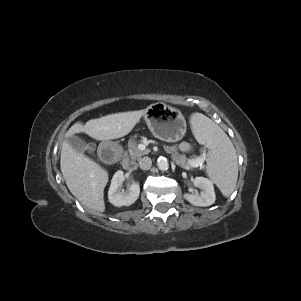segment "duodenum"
Wrapping results in <instances>:
<instances>
[{"mask_svg": "<svg viewBox=\"0 0 301 301\" xmlns=\"http://www.w3.org/2000/svg\"><path fill=\"white\" fill-rule=\"evenodd\" d=\"M97 156L101 162L108 163L111 166H116L122 162V167L128 172L136 169L135 161L124 156L122 148L109 140H104L100 143Z\"/></svg>", "mask_w": 301, "mask_h": 301, "instance_id": "obj_1", "label": "duodenum"}]
</instances>
